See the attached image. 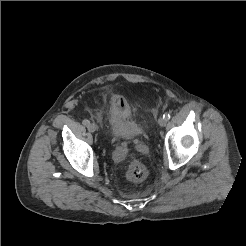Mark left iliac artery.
Here are the masks:
<instances>
[{
  "label": "left iliac artery",
  "mask_w": 246,
  "mask_h": 246,
  "mask_svg": "<svg viewBox=\"0 0 246 246\" xmlns=\"http://www.w3.org/2000/svg\"><path fill=\"white\" fill-rule=\"evenodd\" d=\"M170 117H171V115H170L169 113H167V112L163 115V118H164L165 120H169Z\"/></svg>",
  "instance_id": "left-iliac-artery-1"
}]
</instances>
